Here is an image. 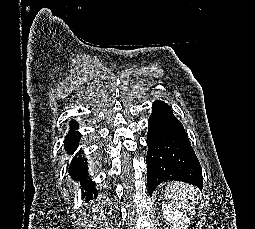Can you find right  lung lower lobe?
Returning <instances> with one entry per match:
<instances>
[{"instance_id":"1","label":"right lung lower lobe","mask_w":255,"mask_h":229,"mask_svg":"<svg viewBox=\"0 0 255 229\" xmlns=\"http://www.w3.org/2000/svg\"><path fill=\"white\" fill-rule=\"evenodd\" d=\"M71 128H77L78 124L76 121L72 120L70 122ZM81 135L77 131H70L65 138V150L68 154H73L75 152V157L73 158L70 168L69 174L73 180L83 181L82 188V195L86 196V201L92 200L93 197L96 198L97 190L95 189L94 182L87 179L88 171H87V161L85 158L82 157L80 154L82 152L79 149V141ZM78 151V152H77Z\"/></svg>"}]
</instances>
